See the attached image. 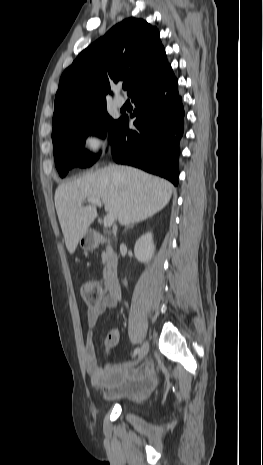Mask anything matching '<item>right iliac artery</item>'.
Returning <instances> with one entry per match:
<instances>
[{"label":"right iliac artery","mask_w":263,"mask_h":465,"mask_svg":"<svg viewBox=\"0 0 263 465\" xmlns=\"http://www.w3.org/2000/svg\"><path fill=\"white\" fill-rule=\"evenodd\" d=\"M140 351V348H136L133 353V357L136 356Z\"/></svg>","instance_id":"82829eb1"}]
</instances>
